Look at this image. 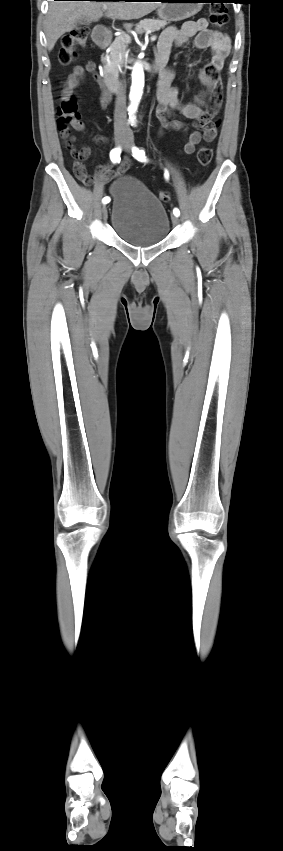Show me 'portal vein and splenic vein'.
Returning a JSON list of instances; mask_svg holds the SVG:
<instances>
[{
  "label": "portal vein and splenic vein",
  "mask_w": 283,
  "mask_h": 851,
  "mask_svg": "<svg viewBox=\"0 0 283 851\" xmlns=\"http://www.w3.org/2000/svg\"><path fill=\"white\" fill-rule=\"evenodd\" d=\"M104 10H106V7L104 8ZM125 38H126L128 41L130 40V36H129V35H127V34H125ZM150 39H151V41H155V40L157 39V37H156L155 35H152Z\"/></svg>",
  "instance_id": "1"
}]
</instances>
